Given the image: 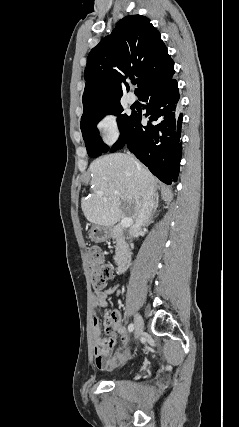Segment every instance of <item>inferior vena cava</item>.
<instances>
[{"label":"inferior vena cava","mask_w":239,"mask_h":427,"mask_svg":"<svg viewBox=\"0 0 239 427\" xmlns=\"http://www.w3.org/2000/svg\"><path fill=\"white\" fill-rule=\"evenodd\" d=\"M150 201L151 200H150V196L149 195L144 196L143 201H142L141 210H140V215L136 219L135 225L130 230V233H133L138 228V226L142 223L143 219L145 218V213H146V210L148 208V205H149Z\"/></svg>","instance_id":"inferior-vena-cava-1"}]
</instances>
